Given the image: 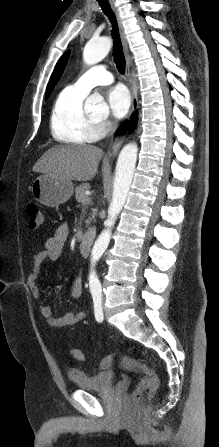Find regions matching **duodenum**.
<instances>
[{
	"label": "duodenum",
	"instance_id": "obj_1",
	"mask_svg": "<svg viewBox=\"0 0 219 447\" xmlns=\"http://www.w3.org/2000/svg\"><path fill=\"white\" fill-rule=\"evenodd\" d=\"M93 237H94L93 229H88L84 232V234L80 240V243H79L80 253L83 257L89 256Z\"/></svg>",
	"mask_w": 219,
	"mask_h": 447
}]
</instances>
